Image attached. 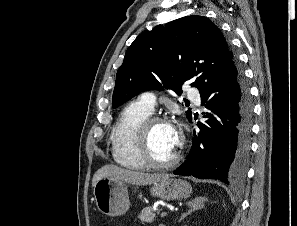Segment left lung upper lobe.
<instances>
[{"instance_id": "left-lung-upper-lobe-1", "label": "left lung upper lobe", "mask_w": 297, "mask_h": 226, "mask_svg": "<svg viewBox=\"0 0 297 226\" xmlns=\"http://www.w3.org/2000/svg\"><path fill=\"white\" fill-rule=\"evenodd\" d=\"M241 70L219 28L203 16H186L140 34L128 48L116 75L113 107L139 92L164 88L182 93L181 86L202 89L229 83ZM188 120L191 109L186 111Z\"/></svg>"}]
</instances>
